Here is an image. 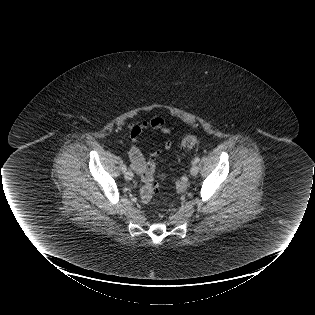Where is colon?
Here are the masks:
<instances>
[{
    "mask_svg": "<svg viewBox=\"0 0 315 315\" xmlns=\"http://www.w3.org/2000/svg\"><path fill=\"white\" fill-rule=\"evenodd\" d=\"M198 143V138L194 135H188L184 137L181 141L183 148L190 149L193 148ZM156 169V163L154 159H150L144 164L140 171L141 177V187H140V197L143 202H150L153 198L155 192L154 174Z\"/></svg>",
    "mask_w": 315,
    "mask_h": 315,
    "instance_id": "1",
    "label": "colon"
}]
</instances>
